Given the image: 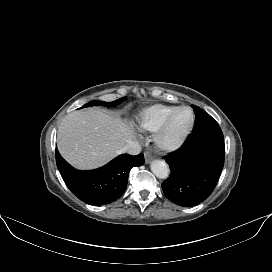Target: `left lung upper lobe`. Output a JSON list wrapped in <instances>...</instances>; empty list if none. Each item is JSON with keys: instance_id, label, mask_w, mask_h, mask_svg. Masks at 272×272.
<instances>
[{"instance_id": "obj_1", "label": "left lung upper lobe", "mask_w": 272, "mask_h": 272, "mask_svg": "<svg viewBox=\"0 0 272 272\" xmlns=\"http://www.w3.org/2000/svg\"><path fill=\"white\" fill-rule=\"evenodd\" d=\"M192 108L194 109V112L196 114V119L192 133L199 132L204 128L216 123V121L204 110L200 109L195 105H192Z\"/></svg>"}]
</instances>
